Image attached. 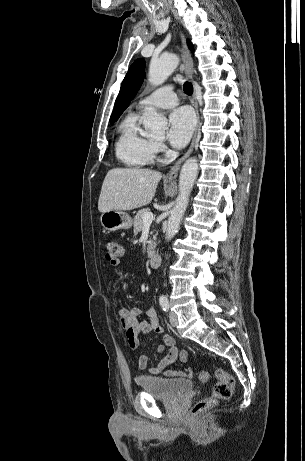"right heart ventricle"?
<instances>
[{
    "mask_svg": "<svg viewBox=\"0 0 305 461\" xmlns=\"http://www.w3.org/2000/svg\"><path fill=\"white\" fill-rule=\"evenodd\" d=\"M155 142L149 138L138 123V114H128L119 126L116 156L129 167H144L155 158Z\"/></svg>",
    "mask_w": 305,
    "mask_h": 461,
    "instance_id": "1",
    "label": "right heart ventricle"
}]
</instances>
